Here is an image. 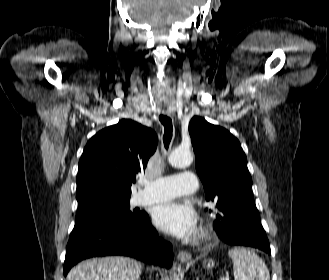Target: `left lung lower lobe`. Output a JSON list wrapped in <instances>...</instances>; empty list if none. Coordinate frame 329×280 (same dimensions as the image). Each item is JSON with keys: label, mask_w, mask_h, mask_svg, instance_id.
<instances>
[{"label": "left lung lower lobe", "mask_w": 329, "mask_h": 280, "mask_svg": "<svg viewBox=\"0 0 329 280\" xmlns=\"http://www.w3.org/2000/svg\"><path fill=\"white\" fill-rule=\"evenodd\" d=\"M218 234L230 245L251 246L271 254L269 241L260 223L259 212L252 199L234 210Z\"/></svg>", "instance_id": "obj_1"}]
</instances>
